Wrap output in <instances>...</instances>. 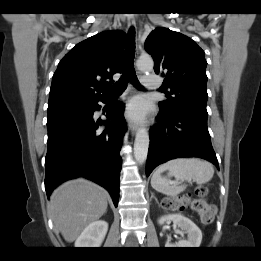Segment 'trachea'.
Returning a JSON list of instances; mask_svg holds the SVG:
<instances>
[{
  "mask_svg": "<svg viewBox=\"0 0 261 261\" xmlns=\"http://www.w3.org/2000/svg\"><path fill=\"white\" fill-rule=\"evenodd\" d=\"M135 30L134 27H131L128 32V40L126 45V56L123 65V74L121 78L110 88V95H119L121 94L128 82H130L137 89H141L135 69H134V53H135Z\"/></svg>",
  "mask_w": 261,
  "mask_h": 261,
  "instance_id": "obj_1",
  "label": "trachea"
}]
</instances>
